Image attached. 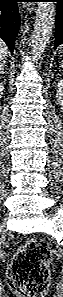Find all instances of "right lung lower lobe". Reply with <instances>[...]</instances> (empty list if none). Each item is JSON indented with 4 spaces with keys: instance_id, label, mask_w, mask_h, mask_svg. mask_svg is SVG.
Instances as JSON below:
<instances>
[{
    "instance_id": "right-lung-lower-lobe-1",
    "label": "right lung lower lobe",
    "mask_w": 63,
    "mask_h": 297,
    "mask_svg": "<svg viewBox=\"0 0 63 297\" xmlns=\"http://www.w3.org/2000/svg\"><path fill=\"white\" fill-rule=\"evenodd\" d=\"M17 1L1 0L0 3V38L7 44L11 53L20 27Z\"/></svg>"
}]
</instances>
